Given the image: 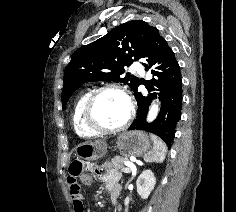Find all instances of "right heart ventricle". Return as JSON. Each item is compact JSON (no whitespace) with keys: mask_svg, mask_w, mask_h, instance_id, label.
<instances>
[{"mask_svg":"<svg viewBox=\"0 0 236 212\" xmlns=\"http://www.w3.org/2000/svg\"><path fill=\"white\" fill-rule=\"evenodd\" d=\"M91 91L85 90L81 92L75 99L72 111H71V122L74 132L81 138H92L98 134L88 129L83 120V110L85 102L89 97Z\"/></svg>","mask_w":236,"mask_h":212,"instance_id":"right-heart-ventricle-1","label":"right heart ventricle"}]
</instances>
